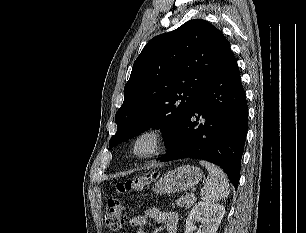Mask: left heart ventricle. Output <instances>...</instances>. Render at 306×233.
<instances>
[{
	"label": "left heart ventricle",
	"mask_w": 306,
	"mask_h": 233,
	"mask_svg": "<svg viewBox=\"0 0 306 233\" xmlns=\"http://www.w3.org/2000/svg\"><path fill=\"white\" fill-rule=\"evenodd\" d=\"M150 146H151V140L149 138H143L138 142L136 149L140 152L146 151L149 149Z\"/></svg>",
	"instance_id": "left-heart-ventricle-1"
}]
</instances>
